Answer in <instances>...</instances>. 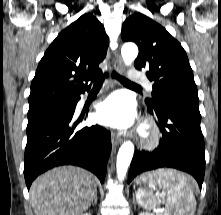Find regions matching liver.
I'll return each instance as SVG.
<instances>
[{"label":"liver","mask_w":221,"mask_h":215,"mask_svg":"<svg viewBox=\"0 0 221 215\" xmlns=\"http://www.w3.org/2000/svg\"><path fill=\"white\" fill-rule=\"evenodd\" d=\"M96 191L90 172L61 166L39 176L29 193L35 215H82L93 202Z\"/></svg>","instance_id":"1"}]
</instances>
